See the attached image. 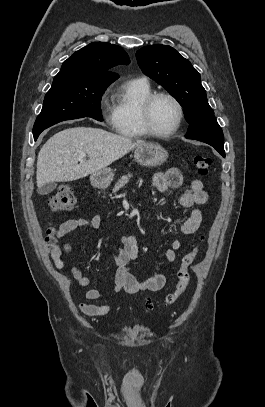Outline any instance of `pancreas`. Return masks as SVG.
Returning <instances> with one entry per match:
<instances>
[{
    "label": "pancreas",
    "mask_w": 265,
    "mask_h": 407,
    "mask_svg": "<svg viewBox=\"0 0 265 407\" xmlns=\"http://www.w3.org/2000/svg\"><path fill=\"white\" fill-rule=\"evenodd\" d=\"M131 177H132V174L122 176L121 179H119L118 182L115 184L112 192L115 193L118 190H120L121 188H123L129 182V179Z\"/></svg>",
    "instance_id": "obj_1"
}]
</instances>
